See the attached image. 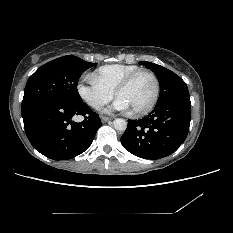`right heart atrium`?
I'll return each mask as SVG.
<instances>
[{"mask_svg": "<svg viewBox=\"0 0 233 233\" xmlns=\"http://www.w3.org/2000/svg\"><path fill=\"white\" fill-rule=\"evenodd\" d=\"M77 93L84 102L95 110L101 109L113 97V92L90 78L86 82L77 85Z\"/></svg>", "mask_w": 233, "mask_h": 233, "instance_id": "obj_1", "label": "right heart atrium"}]
</instances>
